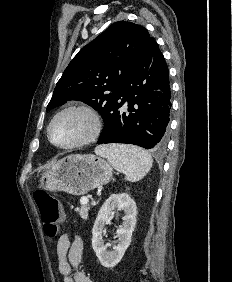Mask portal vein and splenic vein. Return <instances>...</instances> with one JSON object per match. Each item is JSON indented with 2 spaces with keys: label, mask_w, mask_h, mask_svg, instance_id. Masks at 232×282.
Wrapping results in <instances>:
<instances>
[{
  "label": "portal vein and splenic vein",
  "mask_w": 232,
  "mask_h": 282,
  "mask_svg": "<svg viewBox=\"0 0 232 282\" xmlns=\"http://www.w3.org/2000/svg\"><path fill=\"white\" fill-rule=\"evenodd\" d=\"M80 203L83 204V205H86L88 203V197L87 196H83L80 199Z\"/></svg>",
  "instance_id": "portal-vein-and-splenic-vein-1"
}]
</instances>
